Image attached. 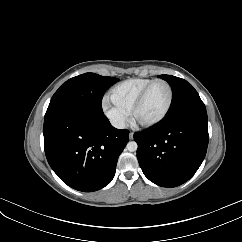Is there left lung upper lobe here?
Returning <instances> with one entry per match:
<instances>
[{
    "label": "left lung upper lobe",
    "mask_w": 242,
    "mask_h": 242,
    "mask_svg": "<svg viewBox=\"0 0 242 242\" xmlns=\"http://www.w3.org/2000/svg\"><path fill=\"white\" fill-rule=\"evenodd\" d=\"M160 78L169 83L173 92V99L168 115L190 106L204 104L197 91L186 80L171 75H161Z\"/></svg>",
    "instance_id": "left-lung-upper-lobe-1"
}]
</instances>
